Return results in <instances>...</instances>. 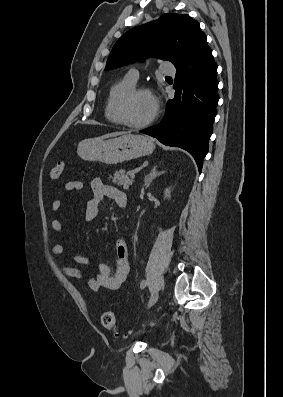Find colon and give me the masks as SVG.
<instances>
[{"instance_id":"obj_1","label":"colon","mask_w":283,"mask_h":397,"mask_svg":"<svg viewBox=\"0 0 283 397\" xmlns=\"http://www.w3.org/2000/svg\"><path fill=\"white\" fill-rule=\"evenodd\" d=\"M65 168L64 162H57L54 164L49 172V177L52 180H58L61 178ZM101 324L104 328L116 332L118 330V324L115 314L112 311H106L101 316Z\"/></svg>"}]
</instances>
